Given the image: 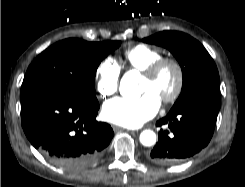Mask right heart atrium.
Instances as JSON below:
<instances>
[{"instance_id":"d8ad5b80","label":"right heart atrium","mask_w":245,"mask_h":187,"mask_svg":"<svg viewBox=\"0 0 245 187\" xmlns=\"http://www.w3.org/2000/svg\"><path fill=\"white\" fill-rule=\"evenodd\" d=\"M96 92L102 99L113 96L118 89L120 67L112 57L104 58L96 71Z\"/></svg>"}]
</instances>
